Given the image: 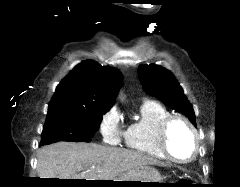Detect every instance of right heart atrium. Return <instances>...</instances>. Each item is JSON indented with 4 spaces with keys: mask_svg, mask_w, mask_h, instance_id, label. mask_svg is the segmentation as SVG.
Returning a JSON list of instances; mask_svg holds the SVG:
<instances>
[{
    "mask_svg": "<svg viewBox=\"0 0 240 187\" xmlns=\"http://www.w3.org/2000/svg\"><path fill=\"white\" fill-rule=\"evenodd\" d=\"M99 132L103 142L117 145L124 137V131L120 125V115L116 108H111L104 113L99 122Z\"/></svg>",
    "mask_w": 240,
    "mask_h": 187,
    "instance_id": "d8ad5b80",
    "label": "right heart atrium"
}]
</instances>
